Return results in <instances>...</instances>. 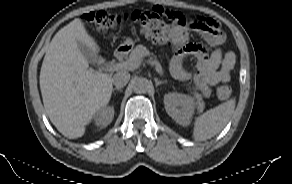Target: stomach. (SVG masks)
Returning a JSON list of instances; mask_svg holds the SVG:
<instances>
[{"label": "stomach", "mask_w": 292, "mask_h": 184, "mask_svg": "<svg viewBox=\"0 0 292 184\" xmlns=\"http://www.w3.org/2000/svg\"><path fill=\"white\" fill-rule=\"evenodd\" d=\"M134 41L131 38H126V40L120 45L121 47H133Z\"/></svg>", "instance_id": "obj_1"}]
</instances>
